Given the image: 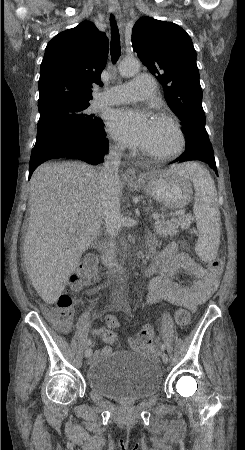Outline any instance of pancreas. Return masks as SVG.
<instances>
[{
	"instance_id": "cf45deb5",
	"label": "pancreas",
	"mask_w": 245,
	"mask_h": 450,
	"mask_svg": "<svg viewBox=\"0 0 245 450\" xmlns=\"http://www.w3.org/2000/svg\"><path fill=\"white\" fill-rule=\"evenodd\" d=\"M192 216L189 214H179L178 217L166 220L164 216L159 217L154 223L156 233L163 237L174 236L178 233V228L188 229L191 225Z\"/></svg>"
}]
</instances>
